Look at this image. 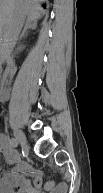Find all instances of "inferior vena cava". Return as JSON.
<instances>
[{"mask_svg":"<svg viewBox=\"0 0 103 193\" xmlns=\"http://www.w3.org/2000/svg\"><path fill=\"white\" fill-rule=\"evenodd\" d=\"M22 26L21 16H17L14 25L11 27V35L5 44V55L9 58V55L14 48L16 41L18 39V35Z\"/></svg>","mask_w":103,"mask_h":193,"instance_id":"inferior-vena-cava-1","label":"inferior vena cava"}]
</instances>
